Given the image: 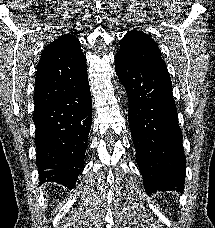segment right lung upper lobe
I'll list each match as a JSON object with an SVG mask.
<instances>
[{
    "label": "right lung upper lobe",
    "mask_w": 215,
    "mask_h": 228,
    "mask_svg": "<svg viewBox=\"0 0 215 228\" xmlns=\"http://www.w3.org/2000/svg\"><path fill=\"white\" fill-rule=\"evenodd\" d=\"M85 75L86 57L79 40L71 34L61 35L42 51L35 80V110L63 95L69 82Z\"/></svg>",
    "instance_id": "right-lung-upper-lobe-1"
}]
</instances>
